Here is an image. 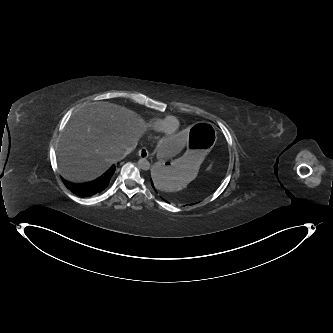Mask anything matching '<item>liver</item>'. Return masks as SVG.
Returning a JSON list of instances; mask_svg holds the SVG:
<instances>
[{
  "label": "liver",
  "mask_w": 333,
  "mask_h": 333,
  "mask_svg": "<svg viewBox=\"0 0 333 333\" xmlns=\"http://www.w3.org/2000/svg\"><path fill=\"white\" fill-rule=\"evenodd\" d=\"M146 130V122L132 110L110 102L90 103L65 126L57 149L60 173L71 182L92 181L127 149H135ZM186 145L183 136L159 143V156L168 160Z\"/></svg>",
  "instance_id": "obj_1"
}]
</instances>
